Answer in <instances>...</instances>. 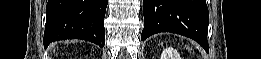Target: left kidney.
<instances>
[{
    "instance_id": "1",
    "label": "left kidney",
    "mask_w": 261,
    "mask_h": 59,
    "mask_svg": "<svg viewBox=\"0 0 261 59\" xmlns=\"http://www.w3.org/2000/svg\"><path fill=\"white\" fill-rule=\"evenodd\" d=\"M161 59H181V57L174 48L169 47L163 50Z\"/></svg>"
}]
</instances>
